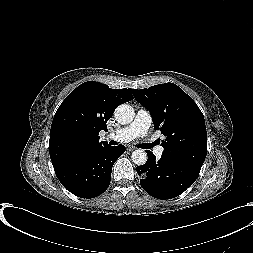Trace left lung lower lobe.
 I'll list each match as a JSON object with an SVG mask.
<instances>
[{
  "mask_svg": "<svg viewBox=\"0 0 253 253\" xmlns=\"http://www.w3.org/2000/svg\"><path fill=\"white\" fill-rule=\"evenodd\" d=\"M146 152L147 162L136 170L143 189L155 198L171 199L182 194L199 175V168L163 155L156 161L152 152Z\"/></svg>",
  "mask_w": 253,
  "mask_h": 253,
  "instance_id": "obj_1",
  "label": "left lung lower lobe"
}]
</instances>
